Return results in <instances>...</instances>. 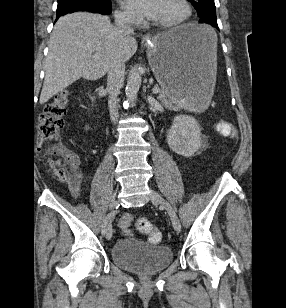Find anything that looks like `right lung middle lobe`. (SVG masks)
Segmentation results:
<instances>
[{"instance_id": "right-lung-middle-lobe-1", "label": "right lung middle lobe", "mask_w": 286, "mask_h": 308, "mask_svg": "<svg viewBox=\"0 0 286 308\" xmlns=\"http://www.w3.org/2000/svg\"><path fill=\"white\" fill-rule=\"evenodd\" d=\"M77 6L111 8V0H58L57 10Z\"/></svg>"}]
</instances>
